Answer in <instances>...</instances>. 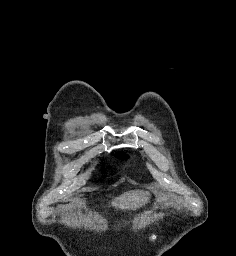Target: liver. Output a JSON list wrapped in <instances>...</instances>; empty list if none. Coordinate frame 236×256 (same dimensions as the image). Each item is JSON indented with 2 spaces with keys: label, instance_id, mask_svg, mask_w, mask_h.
Segmentation results:
<instances>
[{
  "label": "liver",
  "instance_id": "6515ba94",
  "mask_svg": "<svg viewBox=\"0 0 236 256\" xmlns=\"http://www.w3.org/2000/svg\"><path fill=\"white\" fill-rule=\"evenodd\" d=\"M147 196H149L148 192H142V190L125 192V194H121L119 198H116L112 204L116 208H121V210H135V208H141V206L146 204Z\"/></svg>",
  "mask_w": 236,
  "mask_h": 256
}]
</instances>
